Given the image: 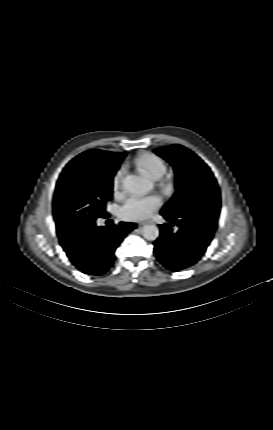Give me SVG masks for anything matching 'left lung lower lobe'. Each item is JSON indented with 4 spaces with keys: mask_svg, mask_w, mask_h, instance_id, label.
<instances>
[{
    "mask_svg": "<svg viewBox=\"0 0 273 430\" xmlns=\"http://www.w3.org/2000/svg\"><path fill=\"white\" fill-rule=\"evenodd\" d=\"M161 215L170 223L160 225V236L153 242L157 259L174 272L194 265L205 253L212 240L219 206L200 203L192 215V222L176 219L163 211ZM174 225L178 226L176 233L171 229Z\"/></svg>",
    "mask_w": 273,
    "mask_h": 430,
    "instance_id": "0a47b994",
    "label": "left lung lower lobe"
}]
</instances>
